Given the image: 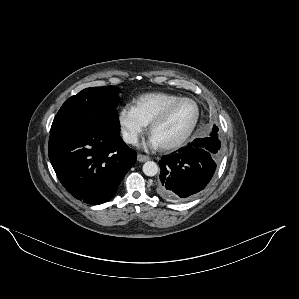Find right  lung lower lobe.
<instances>
[{
  "mask_svg": "<svg viewBox=\"0 0 299 299\" xmlns=\"http://www.w3.org/2000/svg\"><path fill=\"white\" fill-rule=\"evenodd\" d=\"M49 158L72 196L98 205L115 195L136 162V152L123 142L118 130L79 124L50 133Z\"/></svg>",
  "mask_w": 299,
  "mask_h": 299,
  "instance_id": "obj_1",
  "label": "right lung lower lobe"
}]
</instances>
